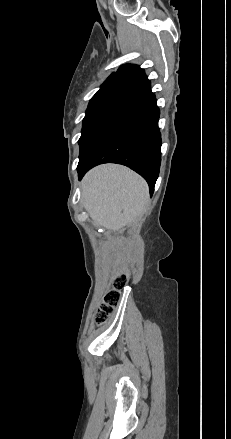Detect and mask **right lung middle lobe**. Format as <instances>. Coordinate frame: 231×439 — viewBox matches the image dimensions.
<instances>
[{
	"instance_id": "obj_1",
	"label": "right lung middle lobe",
	"mask_w": 231,
	"mask_h": 439,
	"mask_svg": "<svg viewBox=\"0 0 231 439\" xmlns=\"http://www.w3.org/2000/svg\"><path fill=\"white\" fill-rule=\"evenodd\" d=\"M141 114V107L134 96L111 97L90 102L79 139V158H83L106 133Z\"/></svg>"
}]
</instances>
